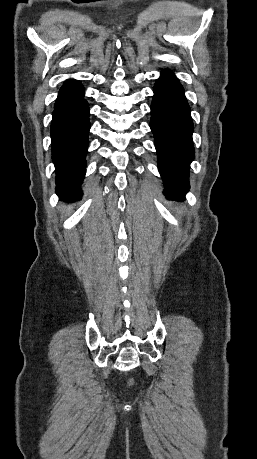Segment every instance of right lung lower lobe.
<instances>
[{"mask_svg":"<svg viewBox=\"0 0 257 459\" xmlns=\"http://www.w3.org/2000/svg\"><path fill=\"white\" fill-rule=\"evenodd\" d=\"M89 108L82 85L74 79L61 87L51 123L52 160L56 168V193L60 199L78 200L86 172Z\"/></svg>","mask_w":257,"mask_h":459,"instance_id":"98d812e1","label":"right lung lower lobe"}]
</instances>
